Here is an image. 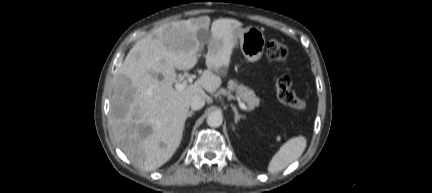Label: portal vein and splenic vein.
<instances>
[{"label": "portal vein and splenic vein", "mask_w": 432, "mask_h": 193, "mask_svg": "<svg viewBox=\"0 0 432 193\" xmlns=\"http://www.w3.org/2000/svg\"><path fill=\"white\" fill-rule=\"evenodd\" d=\"M192 82H193V77L190 76V77H188L187 80H184V81H182V82H181V81H176L175 84H174V87H175L178 91H182V90H184V89L187 87L188 83H192ZM238 104H239V107H240L241 109H243V110H245V111L248 110L247 106H246L243 102L238 101Z\"/></svg>", "instance_id": "obj_1"}]
</instances>
